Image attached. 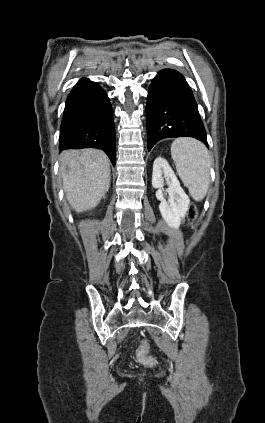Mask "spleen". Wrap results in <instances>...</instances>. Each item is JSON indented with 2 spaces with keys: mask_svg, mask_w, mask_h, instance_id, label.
Returning <instances> with one entry per match:
<instances>
[{
  "mask_svg": "<svg viewBox=\"0 0 265 423\" xmlns=\"http://www.w3.org/2000/svg\"><path fill=\"white\" fill-rule=\"evenodd\" d=\"M171 156L182 182L196 201L205 197L209 182L210 158L207 148L198 140L179 138L171 145Z\"/></svg>",
  "mask_w": 265,
  "mask_h": 423,
  "instance_id": "obj_1",
  "label": "spleen"
}]
</instances>
